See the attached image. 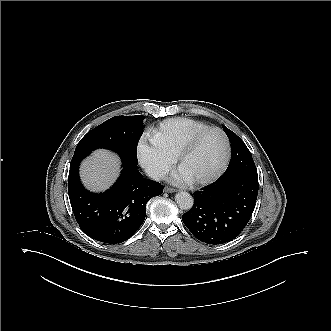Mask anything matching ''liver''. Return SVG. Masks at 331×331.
<instances>
[{"label": "liver", "instance_id": "1", "mask_svg": "<svg viewBox=\"0 0 331 331\" xmlns=\"http://www.w3.org/2000/svg\"><path fill=\"white\" fill-rule=\"evenodd\" d=\"M120 160L107 150H97L85 161L80 168L83 184L91 191H103L117 179Z\"/></svg>", "mask_w": 331, "mask_h": 331}]
</instances>
